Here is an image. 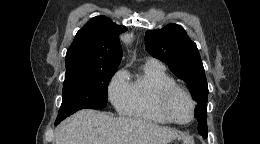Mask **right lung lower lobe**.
Listing matches in <instances>:
<instances>
[{"instance_id":"1","label":"right lung lower lobe","mask_w":260,"mask_h":144,"mask_svg":"<svg viewBox=\"0 0 260 144\" xmlns=\"http://www.w3.org/2000/svg\"><path fill=\"white\" fill-rule=\"evenodd\" d=\"M60 123V122H59ZM58 124V122H55V125H57Z\"/></svg>"}]
</instances>
